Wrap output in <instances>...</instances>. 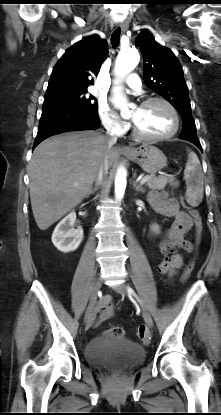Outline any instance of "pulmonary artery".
<instances>
[{"instance_id":"obj_1","label":"pulmonary artery","mask_w":221,"mask_h":415,"mask_svg":"<svg viewBox=\"0 0 221 415\" xmlns=\"http://www.w3.org/2000/svg\"><path fill=\"white\" fill-rule=\"evenodd\" d=\"M124 82L134 90H139L141 88V80L137 74H130L124 79Z\"/></svg>"}]
</instances>
